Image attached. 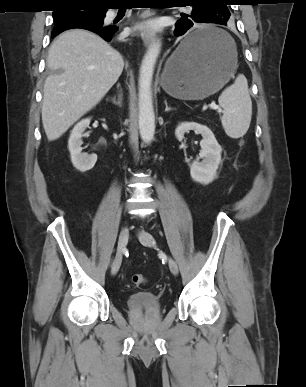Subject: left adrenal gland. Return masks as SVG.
Here are the masks:
<instances>
[{"label": "left adrenal gland", "instance_id": "1", "mask_svg": "<svg viewBox=\"0 0 306 387\" xmlns=\"http://www.w3.org/2000/svg\"><path fill=\"white\" fill-rule=\"evenodd\" d=\"M164 104H165V112L176 110V108L168 106L167 100L164 101Z\"/></svg>", "mask_w": 306, "mask_h": 387}]
</instances>
